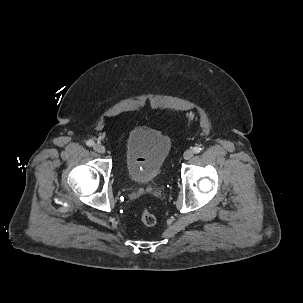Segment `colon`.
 Segmentation results:
<instances>
[{"instance_id": "5ec220e1", "label": "colon", "mask_w": 303, "mask_h": 303, "mask_svg": "<svg viewBox=\"0 0 303 303\" xmlns=\"http://www.w3.org/2000/svg\"><path fill=\"white\" fill-rule=\"evenodd\" d=\"M140 217H141L142 223L148 227H152V226L156 225V223H157V219H156L155 215L147 208H144L141 211Z\"/></svg>"}]
</instances>
